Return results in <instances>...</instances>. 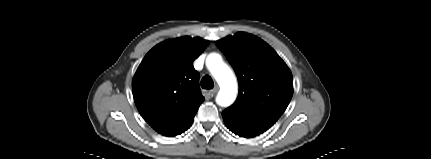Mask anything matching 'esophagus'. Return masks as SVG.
<instances>
[{"mask_svg": "<svg viewBox=\"0 0 431 159\" xmlns=\"http://www.w3.org/2000/svg\"><path fill=\"white\" fill-rule=\"evenodd\" d=\"M218 86H216L215 88H213L212 90H210L209 92H208V95L210 96V97H213L216 93H217V91H218Z\"/></svg>", "mask_w": 431, "mask_h": 159, "instance_id": "obj_1", "label": "esophagus"}]
</instances>
